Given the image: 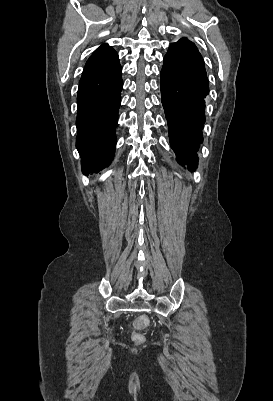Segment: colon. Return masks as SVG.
Returning a JSON list of instances; mask_svg holds the SVG:
<instances>
[{"label": "colon", "instance_id": "1", "mask_svg": "<svg viewBox=\"0 0 273 401\" xmlns=\"http://www.w3.org/2000/svg\"><path fill=\"white\" fill-rule=\"evenodd\" d=\"M146 315L142 314L141 318L137 320L136 324L133 327L134 334H132L131 339L132 341L136 342L139 346H144L147 343V336L145 333H142L144 328L148 327L149 322L145 319ZM135 351L139 350L138 346L134 347Z\"/></svg>", "mask_w": 273, "mask_h": 401}]
</instances>
